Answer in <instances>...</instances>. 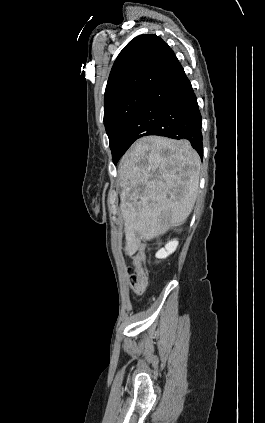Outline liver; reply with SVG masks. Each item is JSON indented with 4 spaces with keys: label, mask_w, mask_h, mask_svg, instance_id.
Instances as JSON below:
<instances>
[{
    "label": "liver",
    "mask_w": 265,
    "mask_h": 423,
    "mask_svg": "<svg viewBox=\"0 0 265 423\" xmlns=\"http://www.w3.org/2000/svg\"><path fill=\"white\" fill-rule=\"evenodd\" d=\"M201 161L187 140L147 136L137 140L118 166L125 253L133 255L190 215L199 191Z\"/></svg>",
    "instance_id": "1"
}]
</instances>
